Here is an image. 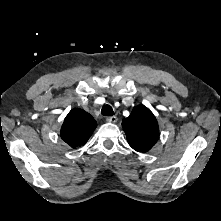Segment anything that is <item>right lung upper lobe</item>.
Segmentation results:
<instances>
[{"mask_svg": "<svg viewBox=\"0 0 221 221\" xmlns=\"http://www.w3.org/2000/svg\"><path fill=\"white\" fill-rule=\"evenodd\" d=\"M97 126L95 119L86 111L72 109L64 119L61 138L72 148L84 145Z\"/></svg>", "mask_w": 221, "mask_h": 221, "instance_id": "obj_1", "label": "right lung upper lobe"}]
</instances>
